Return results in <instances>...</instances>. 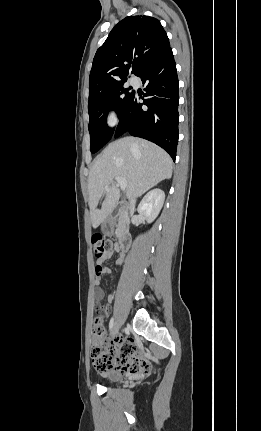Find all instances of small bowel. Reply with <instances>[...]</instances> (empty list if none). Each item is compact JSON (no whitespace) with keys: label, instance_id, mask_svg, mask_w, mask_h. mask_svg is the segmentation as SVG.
Instances as JSON below:
<instances>
[{"label":"small bowel","instance_id":"small-bowel-1","mask_svg":"<svg viewBox=\"0 0 261 431\" xmlns=\"http://www.w3.org/2000/svg\"><path fill=\"white\" fill-rule=\"evenodd\" d=\"M116 250H117V248H116ZM111 256H112V251H110L106 255L105 259H108ZM103 262H104V260H102V261H100L98 263V265L101 266V271L99 273H96V278H95V285H96V290H95V298H96V300L95 301L98 304L101 303L102 299L105 296L104 290L100 287L101 277H102V275L110 274L112 272L109 267L103 265ZM115 262H116L117 265L123 264V262H124V255L122 253H119V255L116 258ZM107 301H108V303H111L113 301V294H111V293L108 294ZM100 309L102 311V313H101L102 318H104V319L109 318L110 313L108 311V306L104 305ZM119 339H122V337H119Z\"/></svg>","mask_w":261,"mask_h":431}]
</instances>
